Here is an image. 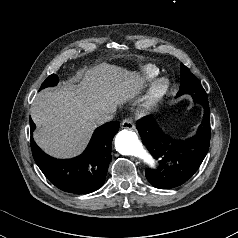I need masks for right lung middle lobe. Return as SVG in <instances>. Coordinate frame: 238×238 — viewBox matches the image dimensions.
I'll return each instance as SVG.
<instances>
[{
  "instance_id": "1",
  "label": "right lung middle lobe",
  "mask_w": 238,
  "mask_h": 238,
  "mask_svg": "<svg viewBox=\"0 0 238 238\" xmlns=\"http://www.w3.org/2000/svg\"><path fill=\"white\" fill-rule=\"evenodd\" d=\"M58 77L55 74L50 75L41 85V89L46 88V87H51L54 86L58 83Z\"/></svg>"
}]
</instances>
